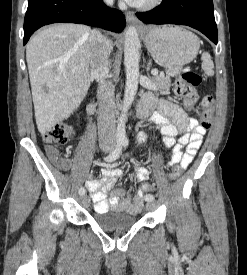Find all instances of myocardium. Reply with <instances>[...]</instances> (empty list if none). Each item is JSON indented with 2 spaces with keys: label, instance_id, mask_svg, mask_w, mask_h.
Instances as JSON below:
<instances>
[{
  "label": "myocardium",
  "instance_id": "obj_1",
  "mask_svg": "<svg viewBox=\"0 0 247 275\" xmlns=\"http://www.w3.org/2000/svg\"><path fill=\"white\" fill-rule=\"evenodd\" d=\"M163 0H146L142 3L135 5L136 8L141 10H150L161 4Z\"/></svg>",
  "mask_w": 247,
  "mask_h": 275
}]
</instances>
